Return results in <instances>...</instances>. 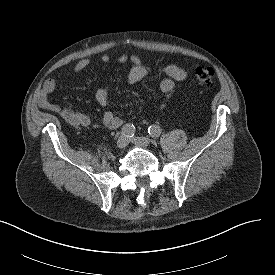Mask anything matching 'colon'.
<instances>
[{"label": "colon", "instance_id": "5ec220e1", "mask_svg": "<svg viewBox=\"0 0 275 275\" xmlns=\"http://www.w3.org/2000/svg\"><path fill=\"white\" fill-rule=\"evenodd\" d=\"M194 76L198 83L204 87H212L214 85L215 72L210 67H197Z\"/></svg>", "mask_w": 275, "mask_h": 275}]
</instances>
